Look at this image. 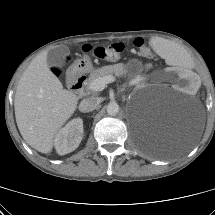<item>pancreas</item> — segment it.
<instances>
[{
	"label": "pancreas",
	"instance_id": "cf45deb5",
	"mask_svg": "<svg viewBox=\"0 0 215 215\" xmlns=\"http://www.w3.org/2000/svg\"><path fill=\"white\" fill-rule=\"evenodd\" d=\"M112 74H115L118 77L123 76L125 74L124 65L119 63V64H115V65L103 66L101 68L94 70L93 72L90 73V76L87 79L88 88H89L90 83L93 80L107 76V75H112Z\"/></svg>",
	"mask_w": 215,
	"mask_h": 215
}]
</instances>
